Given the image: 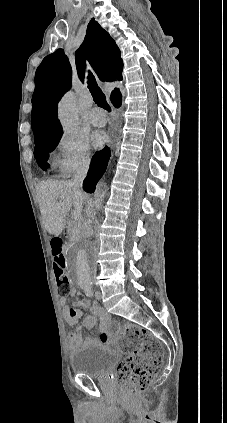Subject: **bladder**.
<instances>
[{
    "label": "bladder",
    "instance_id": "obj_1",
    "mask_svg": "<svg viewBox=\"0 0 227 423\" xmlns=\"http://www.w3.org/2000/svg\"><path fill=\"white\" fill-rule=\"evenodd\" d=\"M118 359L115 352L105 351L99 345L83 346L71 357V370L91 379L103 380L110 375V369L116 366Z\"/></svg>",
    "mask_w": 227,
    "mask_h": 423
}]
</instances>
